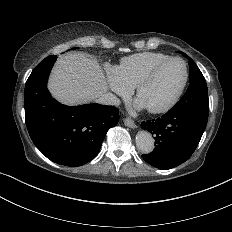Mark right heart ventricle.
<instances>
[{"instance_id":"right-heart-ventricle-1","label":"right heart ventricle","mask_w":232,"mask_h":232,"mask_svg":"<svg viewBox=\"0 0 232 232\" xmlns=\"http://www.w3.org/2000/svg\"><path fill=\"white\" fill-rule=\"evenodd\" d=\"M169 57V55L158 51L136 52L119 60L116 73L123 85L130 90L144 73Z\"/></svg>"}]
</instances>
